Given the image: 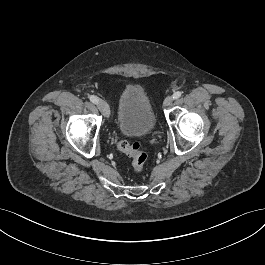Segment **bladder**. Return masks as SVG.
<instances>
[{
    "label": "bladder",
    "mask_w": 265,
    "mask_h": 265,
    "mask_svg": "<svg viewBox=\"0 0 265 265\" xmlns=\"http://www.w3.org/2000/svg\"><path fill=\"white\" fill-rule=\"evenodd\" d=\"M117 126L126 136L144 137L156 123L155 114L146 92L139 86L125 87L118 99Z\"/></svg>",
    "instance_id": "31cf9c89"
}]
</instances>
